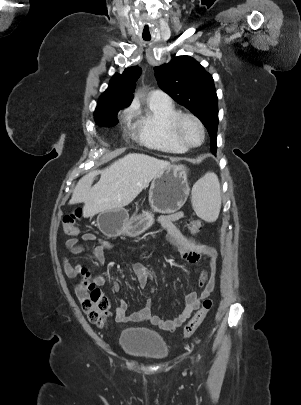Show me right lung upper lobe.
Masks as SVG:
<instances>
[{
  "label": "right lung upper lobe",
  "mask_w": 301,
  "mask_h": 405,
  "mask_svg": "<svg viewBox=\"0 0 301 405\" xmlns=\"http://www.w3.org/2000/svg\"><path fill=\"white\" fill-rule=\"evenodd\" d=\"M140 74L141 69L137 66L126 68L122 75L116 73L100 96L96 110L110 112L129 106Z\"/></svg>",
  "instance_id": "obj_1"
}]
</instances>
